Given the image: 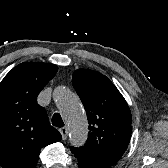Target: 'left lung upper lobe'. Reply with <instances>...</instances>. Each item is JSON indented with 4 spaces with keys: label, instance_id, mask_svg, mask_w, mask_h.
<instances>
[{
    "label": "left lung upper lobe",
    "instance_id": "obj_1",
    "mask_svg": "<svg viewBox=\"0 0 168 168\" xmlns=\"http://www.w3.org/2000/svg\"><path fill=\"white\" fill-rule=\"evenodd\" d=\"M72 84L89 123L88 139L80 149L114 165L130 141L132 116L127 102L106 76L93 70L74 71Z\"/></svg>",
    "mask_w": 168,
    "mask_h": 168
}]
</instances>
